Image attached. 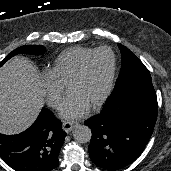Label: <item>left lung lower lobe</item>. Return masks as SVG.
Segmentation results:
<instances>
[{
	"mask_svg": "<svg viewBox=\"0 0 171 171\" xmlns=\"http://www.w3.org/2000/svg\"><path fill=\"white\" fill-rule=\"evenodd\" d=\"M155 92L126 93L85 121L92 131L91 160L106 170H119L143 152L157 119Z\"/></svg>",
	"mask_w": 171,
	"mask_h": 171,
	"instance_id": "0a47b994",
	"label": "left lung lower lobe"
}]
</instances>
